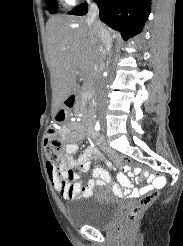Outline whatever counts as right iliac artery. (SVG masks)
<instances>
[{
	"label": "right iliac artery",
	"instance_id": "1",
	"mask_svg": "<svg viewBox=\"0 0 183 246\" xmlns=\"http://www.w3.org/2000/svg\"><path fill=\"white\" fill-rule=\"evenodd\" d=\"M95 129H96L97 131L100 130V123H99V121H97V123H96V125H95Z\"/></svg>",
	"mask_w": 183,
	"mask_h": 246
}]
</instances>
